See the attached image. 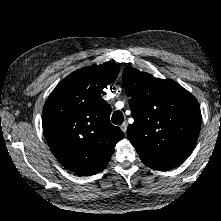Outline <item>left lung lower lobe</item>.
Here are the masks:
<instances>
[{"label":"left lung lower lobe","mask_w":221,"mask_h":221,"mask_svg":"<svg viewBox=\"0 0 221 221\" xmlns=\"http://www.w3.org/2000/svg\"><path fill=\"white\" fill-rule=\"evenodd\" d=\"M149 167L154 168V169H158V170H168L167 168L159 167V166H149Z\"/></svg>","instance_id":"left-lung-lower-lobe-1"}]
</instances>
